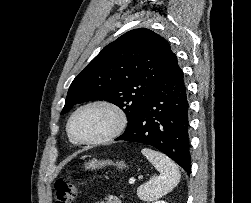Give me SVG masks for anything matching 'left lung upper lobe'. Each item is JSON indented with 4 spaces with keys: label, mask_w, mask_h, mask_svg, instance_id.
Segmentation results:
<instances>
[{
    "label": "left lung upper lobe",
    "mask_w": 251,
    "mask_h": 203,
    "mask_svg": "<svg viewBox=\"0 0 251 203\" xmlns=\"http://www.w3.org/2000/svg\"><path fill=\"white\" fill-rule=\"evenodd\" d=\"M173 55L169 43L153 31H128L75 77L61 115L78 103L105 100L125 112L130 128Z\"/></svg>",
    "instance_id": "left-lung-upper-lobe-1"
}]
</instances>
